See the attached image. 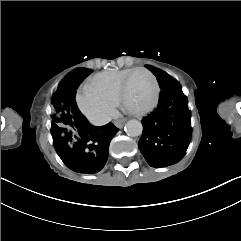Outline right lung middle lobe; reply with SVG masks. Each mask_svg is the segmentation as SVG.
<instances>
[{
    "label": "right lung middle lobe",
    "instance_id": "1",
    "mask_svg": "<svg viewBox=\"0 0 241 241\" xmlns=\"http://www.w3.org/2000/svg\"><path fill=\"white\" fill-rule=\"evenodd\" d=\"M86 70L88 74L92 72L91 69ZM67 94H69V90L66 86V79H64L58 86L51 100L52 135L71 134L74 132V125L65 101V96Z\"/></svg>",
    "mask_w": 241,
    "mask_h": 241
}]
</instances>
